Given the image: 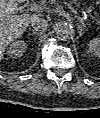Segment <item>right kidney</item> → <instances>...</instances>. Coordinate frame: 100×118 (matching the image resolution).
Listing matches in <instances>:
<instances>
[{"instance_id": "ca27d5eb", "label": "right kidney", "mask_w": 100, "mask_h": 118, "mask_svg": "<svg viewBox=\"0 0 100 118\" xmlns=\"http://www.w3.org/2000/svg\"><path fill=\"white\" fill-rule=\"evenodd\" d=\"M27 48L26 42L23 40H18L12 42L8 48V55L12 58H19L23 55Z\"/></svg>"}]
</instances>
